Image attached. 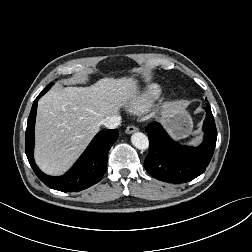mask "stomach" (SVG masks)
<instances>
[{
	"label": "stomach",
	"instance_id": "1",
	"mask_svg": "<svg viewBox=\"0 0 252 252\" xmlns=\"http://www.w3.org/2000/svg\"><path fill=\"white\" fill-rule=\"evenodd\" d=\"M163 118L164 124L174 138L182 139L192 133L193 122L191 116L181 103L167 105Z\"/></svg>",
	"mask_w": 252,
	"mask_h": 252
}]
</instances>
